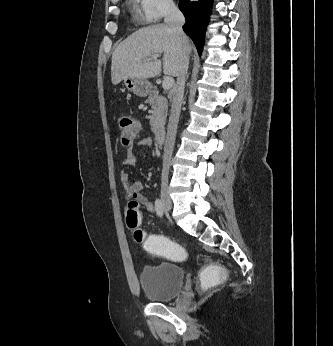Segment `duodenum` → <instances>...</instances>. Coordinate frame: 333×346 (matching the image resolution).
Returning <instances> with one entry per match:
<instances>
[{
    "instance_id": "410a0bca",
    "label": "duodenum",
    "mask_w": 333,
    "mask_h": 346,
    "mask_svg": "<svg viewBox=\"0 0 333 346\" xmlns=\"http://www.w3.org/2000/svg\"><path fill=\"white\" fill-rule=\"evenodd\" d=\"M155 139H156V142L159 144L164 143L166 139V131L164 128H157L155 130Z\"/></svg>"
}]
</instances>
